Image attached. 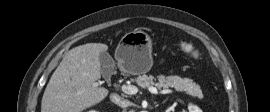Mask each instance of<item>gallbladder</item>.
I'll return each mask as SVG.
<instances>
[{
  "mask_svg": "<svg viewBox=\"0 0 270 112\" xmlns=\"http://www.w3.org/2000/svg\"><path fill=\"white\" fill-rule=\"evenodd\" d=\"M100 63L102 65L101 73L108 77L114 69V60L107 52H102L99 56Z\"/></svg>",
  "mask_w": 270,
  "mask_h": 112,
  "instance_id": "1",
  "label": "gallbladder"
}]
</instances>
